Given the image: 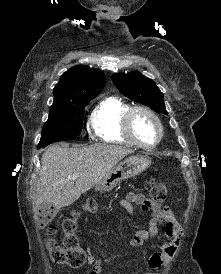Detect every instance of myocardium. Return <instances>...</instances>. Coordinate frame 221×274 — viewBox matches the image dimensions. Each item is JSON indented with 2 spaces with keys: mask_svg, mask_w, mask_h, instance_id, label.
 <instances>
[{
  "mask_svg": "<svg viewBox=\"0 0 221 274\" xmlns=\"http://www.w3.org/2000/svg\"><path fill=\"white\" fill-rule=\"evenodd\" d=\"M138 112H144L148 114L156 123L157 128H158V138L153 144H144L139 139L136 137L134 128H133V120L134 116ZM124 129L127 134V136L131 139V141L138 147L142 149H153L156 146L159 145L163 138L164 130H163V125L162 122L157 115V113L152 110L151 108L144 106V105H135L131 106V108L126 112L125 117H124Z\"/></svg>",
  "mask_w": 221,
  "mask_h": 274,
  "instance_id": "myocardium-1",
  "label": "myocardium"
}]
</instances>
